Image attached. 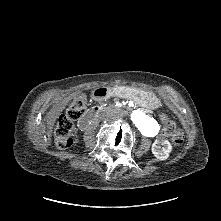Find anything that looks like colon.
<instances>
[{"instance_id": "5ec220e1", "label": "colon", "mask_w": 221, "mask_h": 221, "mask_svg": "<svg viewBox=\"0 0 221 221\" xmlns=\"http://www.w3.org/2000/svg\"><path fill=\"white\" fill-rule=\"evenodd\" d=\"M66 104L65 113L58 117L54 129V141L59 148H67L72 144L73 120L83 112L87 97L84 94L74 95L67 99ZM160 119L163 122V135L169 137L174 146L181 145L184 140L183 130L166 113H161Z\"/></svg>"}]
</instances>
